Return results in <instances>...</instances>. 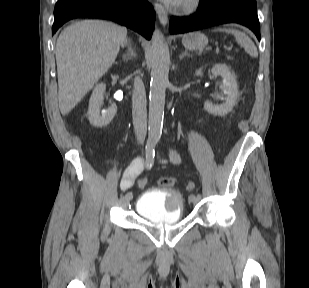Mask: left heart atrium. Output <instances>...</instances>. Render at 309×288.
Instances as JSON below:
<instances>
[{"mask_svg":"<svg viewBox=\"0 0 309 288\" xmlns=\"http://www.w3.org/2000/svg\"><path fill=\"white\" fill-rule=\"evenodd\" d=\"M163 1H165L166 3L172 6H177L182 2V0H163Z\"/></svg>","mask_w":309,"mask_h":288,"instance_id":"1","label":"left heart atrium"}]
</instances>
